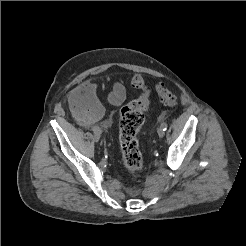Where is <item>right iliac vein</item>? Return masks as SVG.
Masks as SVG:
<instances>
[{
    "instance_id": "1",
    "label": "right iliac vein",
    "mask_w": 246,
    "mask_h": 246,
    "mask_svg": "<svg viewBox=\"0 0 246 246\" xmlns=\"http://www.w3.org/2000/svg\"><path fill=\"white\" fill-rule=\"evenodd\" d=\"M94 140L98 142L100 140V133H94Z\"/></svg>"
}]
</instances>
